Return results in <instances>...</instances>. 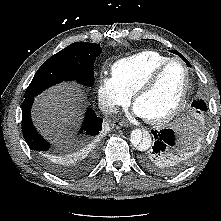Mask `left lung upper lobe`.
Returning <instances> with one entry per match:
<instances>
[{
    "label": "left lung upper lobe",
    "mask_w": 221,
    "mask_h": 221,
    "mask_svg": "<svg viewBox=\"0 0 221 221\" xmlns=\"http://www.w3.org/2000/svg\"><path fill=\"white\" fill-rule=\"evenodd\" d=\"M193 108H196L201 111H207V106L203 100H194L191 104Z\"/></svg>",
    "instance_id": "1"
}]
</instances>
